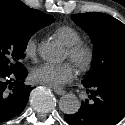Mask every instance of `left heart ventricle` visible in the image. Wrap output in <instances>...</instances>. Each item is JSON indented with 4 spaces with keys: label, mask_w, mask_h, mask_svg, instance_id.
Listing matches in <instances>:
<instances>
[{
    "label": "left heart ventricle",
    "mask_w": 125,
    "mask_h": 125,
    "mask_svg": "<svg viewBox=\"0 0 125 125\" xmlns=\"http://www.w3.org/2000/svg\"><path fill=\"white\" fill-rule=\"evenodd\" d=\"M66 57H68L67 51H66Z\"/></svg>",
    "instance_id": "b2bd125f"
}]
</instances>
